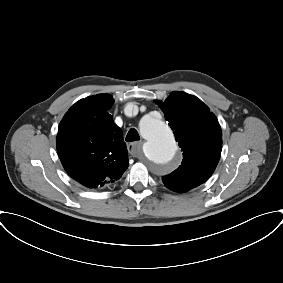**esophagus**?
Masks as SVG:
<instances>
[{
	"label": "esophagus",
	"instance_id": "esophagus-1",
	"mask_svg": "<svg viewBox=\"0 0 283 283\" xmlns=\"http://www.w3.org/2000/svg\"><path fill=\"white\" fill-rule=\"evenodd\" d=\"M143 142H132L128 145V151L131 155L134 157H139L141 154V147H142Z\"/></svg>",
	"mask_w": 283,
	"mask_h": 283
}]
</instances>
